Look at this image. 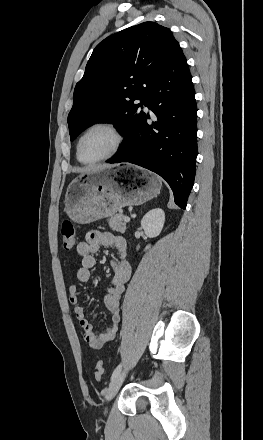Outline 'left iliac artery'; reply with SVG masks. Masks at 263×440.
<instances>
[{
	"instance_id": "44dca946",
	"label": "left iliac artery",
	"mask_w": 263,
	"mask_h": 440,
	"mask_svg": "<svg viewBox=\"0 0 263 440\" xmlns=\"http://www.w3.org/2000/svg\"><path fill=\"white\" fill-rule=\"evenodd\" d=\"M121 367H122V365L119 364V365L116 367V369L113 371L112 376H111V381H113V380L117 377V375L120 373V371H121Z\"/></svg>"
}]
</instances>
